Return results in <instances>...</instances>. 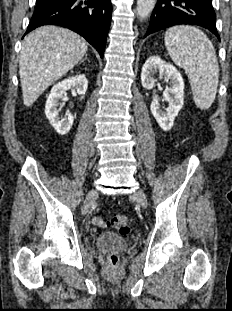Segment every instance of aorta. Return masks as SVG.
Segmentation results:
<instances>
[{
	"instance_id": "1",
	"label": "aorta",
	"mask_w": 232,
	"mask_h": 311,
	"mask_svg": "<svg viewBox=\"0 0 232 311\" xmlns=\"http://www.w3.org/2000/svg\"><path fill=\"white\" fill-rule=\"evenodd\" d=\"M156 0H137V15L140 19H145L152 12Z\"/></svg>"
}]
</instances>
